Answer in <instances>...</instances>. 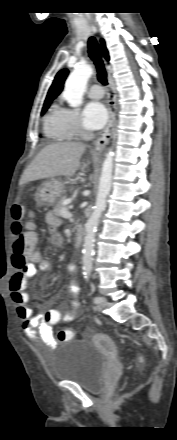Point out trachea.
I'll return each instance as SVG.
<instances>
[{"mask_svg":"<svg viewBox=\"0 0 177 440\" xmlns=\"http://www.w3.org/2000/svg\"><path fill=\"white\" fill-rule=\"evenodd\" d=\"M88 54L89 57L94 62L97 68L98 80L103 84L107 85V75L104 68V64L100 54L99 45L94 37H90L88 41Z\"/></svg>","mask_w":177,"mask_h":440,"instance_id":"trachea-1","label":"trachea"}]
</instances>
